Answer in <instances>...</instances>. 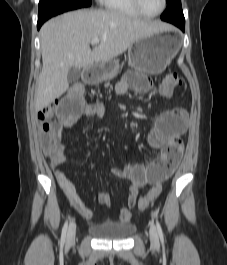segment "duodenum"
Masks as SVG:
<instances>
[{
    "label": "duodenum",
    "mask_w": 227,
    "mask_h": 265,
    "mask_svg": "<svg viewBox=\"0 0 227 265\" xmlns=\"http://www.w3.org/2000/svg\"><path fill=\"white\" fill-rule=\"evenodd\" d=\"M94 78H95V74H94L93 69L89 68V69H86L84 71V73H83V80L86 83H92L94 81Z\"/></svg>",
    "instance_id": "obj_1"
}]
</instances>
